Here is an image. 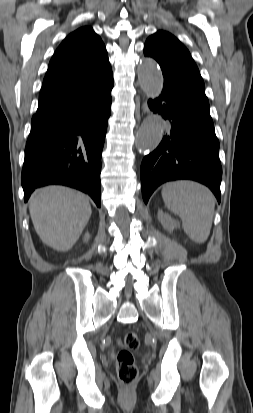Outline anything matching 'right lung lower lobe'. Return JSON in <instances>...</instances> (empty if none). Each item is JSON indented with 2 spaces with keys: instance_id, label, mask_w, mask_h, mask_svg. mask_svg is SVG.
Returning a JSON list of instances; mask_svg holds the SVG:
<instances>
[{
  "instance_id": "right-lung-lower-lobe-1",
  "label": "right lung lower lobe",
  "mask_w": 253,
  "mask_h": 413,
  "mask_svg": "<svg viewBox=\"0 0 253 413\" xmlns=\"http://www.w3.org/2000/svg\"><path fill=\"white\" fill-rule=\"evenodd\" d=\"M112 88L111 74L93 95L31 126L21 176L25 202L37 187L62 184L89 194L101 206V154Z\"/></svg>"
}]
</instances>
